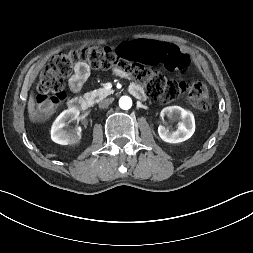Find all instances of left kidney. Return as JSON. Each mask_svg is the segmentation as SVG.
Instances as JSON below:
<instances>
[{"label":"left kidney","instance_id":"obj_1","mask_svg":"<svg viewBox=\"0 0 253 253\" xmlns=\"http://www.w3.org/2000/svg\"><path fill=\"white\" fill-rule=\"evenodd\" d=\"M161 115H167L170 118L179 119L176 131L160 125L158 133L160 138L167 143H180L189 139L195 132V119L191 111L185 110L179 106L165 107Z\"/></svg>","mask_w":253,"mask_h":253}]
</instances>
